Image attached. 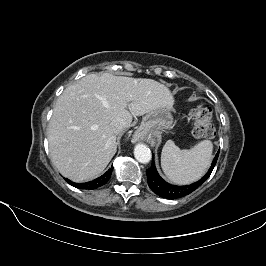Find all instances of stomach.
<instances>
[{
	"instance_id": "0dacf381",
	"label": "stomach",
	"mask_w": 266,
	"mask_h": 266,
	"mask_svg": "<svg viewBox=\"0 0 266 266\" xmlns=\"http://www.w3.org/2000/svg\"><path fill=\"white\" fill-rule=\"evenodd\" d=\"M173 127V117L171 109L159 107L147 113L141 122L136 134H147L155 130H166Z\"/></svg>"
}]
</instances>
